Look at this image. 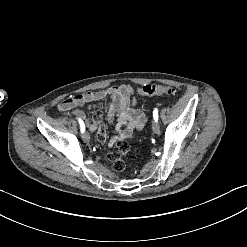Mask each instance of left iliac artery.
<instances>
[{
  "instance_id": "1",
  "label": "left iliac artery",
  "mask_w": 247,
  "mask_h": 247,
  "mask_svg": "<svg viewBox=\"0 0 247 247\" xmlns=\"http://www.w3.org/2000/svg\"><path fill=\"white\" fill-rule=\"evenodd\" d=\"M153 118H154V120L156 122L158 121V110H157V108H155L154 111H153Z\"/></svg>"
}]
</instances>
